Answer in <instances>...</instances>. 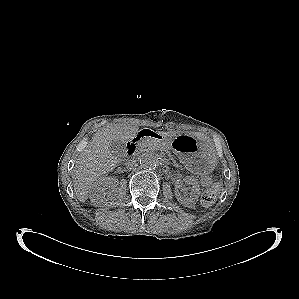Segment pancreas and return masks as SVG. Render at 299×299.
Wrapping results in <instances>:
<instances>
[{"mask_svg":"<svg viewBox=\"0 0 299 299\" xmlns=\"http://www.w3.org/2000/svg\"><path fill=\"white\" fill-rule=\"evenodd\" d=\"M141 146L145 150H161V149H167L168 145L155 141V140H143L141 142Z\"/></svg>","mask_w":299,"mask_h":299,"instance_id":"obj_1","label":"pancreas"}]
</instances>
